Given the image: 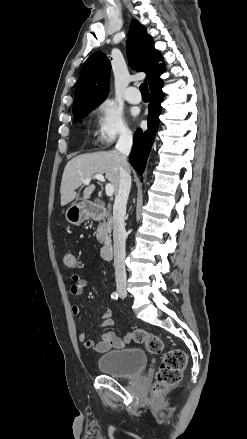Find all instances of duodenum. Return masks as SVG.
<instances>
[{
  "label": "duodenum",
  "instance_id": "duodenum-1",
  "mask_svg": "<svg viewBox=\"0 0 247 439\" xmlns=\"http://www.w3.org/2000/svg\"><path fill=\"white\" fill-rule=\"evenodd\" d=\"M86 210L90 217L94 219H100L105 214V207L98 203H91L86 207ZM100 255L103 259L109 260L113 255V245L111 242H106L100 249Z\"/></svg>",
  "mask_w": 247,
  "mask_h": 439
}]
</instances>
